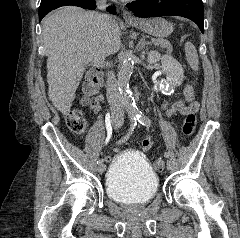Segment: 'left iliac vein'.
<instances>
[{
    "mask_svg": "<svg viewBox=\"0 0 240 238\" xmlns=\"http://www.w3.org/2000/svg\"><path fill=\"white\" fill-rule=\"evenodd\" d=\"M166 166H167V169H168V170H171V169H172V162H171V160H167Z\"/></svg>",
    "mask_w": 240,
    "mask_h": 238,
    "instance_id": "1",
    "label": "left iliac vein"
}]
</instances>
